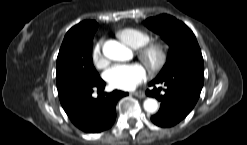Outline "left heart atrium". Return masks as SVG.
Instances as JSON below:
<instances>
[{"instance_id": "left-heart-atrium-1", "label": "left heart atrium", "mask_w": 247, "mask_h": 145, "mask_svg": "<svg viewBox=\"0 0 247 145\" xmlns=\"http://www.w3.org/2000/svg\"><path fill=\"white\" fill-rule=\"evenodd\" d=\"M147 78V69L140 63L116 64L105 72L106 81L123 90H132Z\"/></svg>"}]
</instances>
